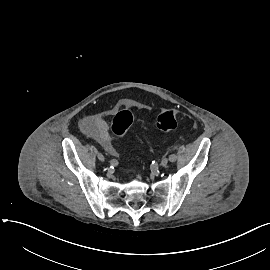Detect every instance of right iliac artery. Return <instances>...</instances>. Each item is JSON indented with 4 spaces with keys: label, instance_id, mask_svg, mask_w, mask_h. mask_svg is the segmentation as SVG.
Wrapping results in <instances>:
<instances>
[{
    "label": "right iliac artery",
    "instance_id": "1",
    "mask_svg": "<svg viewBox=\"0 0 270 270\" xmlns=\"http://www.w3.org/2000/svg\"><path fill=\"white\" fill-rule=\"evenodd\" d=\"M118 164V161L116 159H112L110 160V165L113 167V166H116Z\"/></svg>",
    "mask_w": 270,
    "mask_h": 270
}]
</instances>
